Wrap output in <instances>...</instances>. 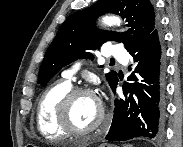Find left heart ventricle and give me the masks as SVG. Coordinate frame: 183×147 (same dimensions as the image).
<instances>
[{
	"label": "left heart ventricle",
	"instance_id": "obj_1",
	"mask_svg": "<svg viewBox=\"0 0 183 147\" xmlns=\"http://www.w3.org/2000/svg\"><path fill=\"white\" fill-rule=\"evenodd\" d=\"M99 108L97 102L88 95L77 96L70 107V117L76 129L85 130L97 119Z\"/></svg>",
	"mask_w": 183,
	"mask_h": 147
}]
</instances>
